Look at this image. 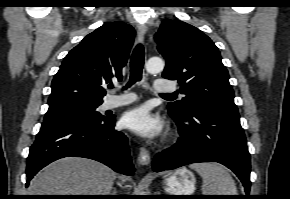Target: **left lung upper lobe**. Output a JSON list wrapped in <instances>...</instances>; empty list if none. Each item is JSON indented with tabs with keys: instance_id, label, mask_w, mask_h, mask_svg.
Listing matches in <instances>:
<instances>
[{
	"instance_id": "5c2ea615",
	"label": "left lung upper lobe",
	"mask_w": 290,
	"mask_h": 199,
	"mask_svg": "<svg viewBox=\"0 0 290 199\" xmlns=\"http://www.w3.org/2000/svg\"><path fill=\"white\" fill-rule=\"evenodd\" d=\"M158 51L166 59L162 76L177 80L181 101L168 104V112L183 115L202 106L212 111L239 116L229 75L218 48L199 29L180 20L166 19L156 33Z\"/></svg>"
}]
</instances>
